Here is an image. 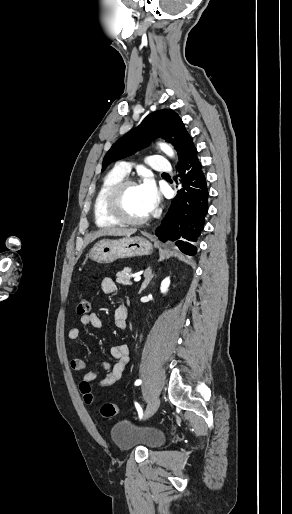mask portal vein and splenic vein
Listing matches in <instances>:
<instances>
[{"label": "portal vein and splenic vein", "instance_id": "portal-vein-and-splenic-vein-1", "mask_svg": "<svg viewBox=\"0 0 292 514\" xmlns=\"http://www.w3.org/2000/svg\"><path fill=\"white\" fill-rule=\"evenodd\" d=\"M134 280L135 282H139V280H141V276H135Z\"/></svg>", "mask_w": 292, "mask_h": 514}]
</instances>
